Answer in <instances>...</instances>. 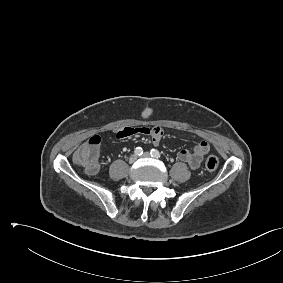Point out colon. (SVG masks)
<instances>
[{
  "mask_svg": "<svg viewBox=\"0 0 283 283\" xmlns=\"http://www.w3.org/2000/svg\"><path fill=\"white\" fill-rule=\"evenodd\" d=\"M100 137L93 136L84 143L74 154L75 162L83 167L87 172H95L98 168V154ZM219 159L215 155H208L205 159V168L214 171L218 168Z\"/></svg>",
  "mask_w": 283,
  "mask_h": 283,
  "instance_id": "colon-1",
  "label": "colon"
}]
</instances>
